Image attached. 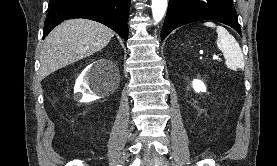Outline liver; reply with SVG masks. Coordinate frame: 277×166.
Here are the masks:
<instances>
[{
    "label": "liver",
    "mask_w": 277,
    "mask_h": 166,
    "mask_svg": "<svg viewBox=\"0 0 277 166\" xmlns=\"http://www.w3.org/2000/svg\"><path fill=\"white\" fill-rule=\"evenodd\" d=\"M113 37L107 26L85 19L67 20L44 40L40 56V78L105 48Z\"/></svg>",
    "instance_id": "6515ba94"
}]
</instances>
